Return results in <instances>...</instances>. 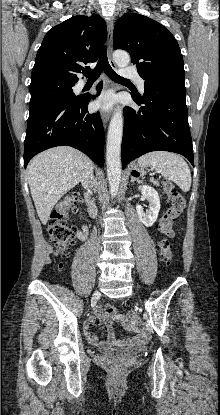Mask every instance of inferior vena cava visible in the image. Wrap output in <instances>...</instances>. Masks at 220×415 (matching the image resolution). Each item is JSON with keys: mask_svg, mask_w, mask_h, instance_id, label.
<instances>
[{"mask_svg": "<svg viewBox=\"0 0 220 415\" xmlns=\"http://www.w3.org/2000/svg\"><path fill=\"white\" fill-rule=\"evenodd\" d=\"M92 179L93 178L90 175H88L82 180V184L85 186V188L90 189L92 187L88 185L89 180H92Z\"/></svg>", "mask_w": 220, "mask_h": 415, "instance_id": "1", "label": "inferior vena cava"}]
</instances>
